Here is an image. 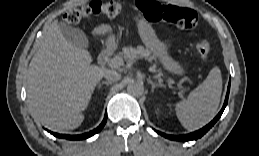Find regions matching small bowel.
Instances as JSON below:
<instances>
[{
    "mask_svg": "<svg viewBox=\"0 0 259 156\" xmlns=\"http://www.w3.org/2000/svg\"><path fill=\"white\" fill-rule=\"evenodd\" d=\"M109 29L110 28L108 26L103 25V26L98 27L97 32L102 33V32L108 31Z\"/></svg>",
    "mask_w": 259,
    "mask_h": 156,
    "instance_id": "1",
    "label": "small bowel"
}]
</instances>
